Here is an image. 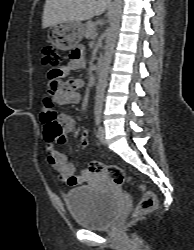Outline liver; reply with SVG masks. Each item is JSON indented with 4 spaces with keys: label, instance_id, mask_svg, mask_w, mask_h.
<instances>
[{
    "label": "liver",
    "instance_id": "1",
    "mask_svg": "<svg viewBox=\"0 0 194 250\" xmlns=\"http://www.w3.org/2000/svg\"><path fill=\"white\" fill-rule=\"evenodd\" d=\"M109 0H46L42 27L63 22H81L105 12Z\"/></svg>",
    "mask_w": 194,
    "mask_h": 250
}]
</instances>
